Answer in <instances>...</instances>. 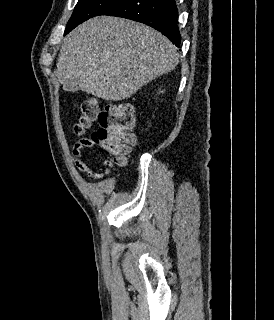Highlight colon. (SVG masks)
Masks as SVG:
<instances>
[{"label": "colon", "instance_id": "5ec220e1", "mask_svg": "<svg viewBox=\"0 0 274 320\" xmlns=\"http://www.w3.org/2000/svg\"><path fill=\"white\" fill-rule=\"evenodd\" d=\"M78 117L74 134H85L93 123L97 128L91 135V143L109 152L111 163L124 165L136 142L132 130L135 126V113L131 106L122 102H110L100 106L94 99L84 100L76 105Z\"/></svg>", "mask_w": 274, "mask_h": 320}]
</instances>
